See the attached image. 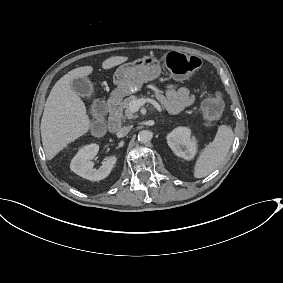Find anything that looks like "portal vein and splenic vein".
I'll return each mask as SVG.
<instances>
[{
	"instance_id": "portal-vein-and-splenic-vein-1",
	"label": "portal vein and splenic vein",
	"mask_w": 283,
	"mask_h": 283,
	"mask_svg": "<svg viewBox=\"0 0 283 283\" xmlns=\"http://www.w3.org/2000/svg\"><path fill=\"white\" fill-rule=\"evenodd\" d=\"M146 102H150L152 104H154L156 106V102L154 100H150V99H137V100H133L130 102L129 104V111L132 113V114H136L139 109L145 105Z\"/></svg>"
}]
</instances>
